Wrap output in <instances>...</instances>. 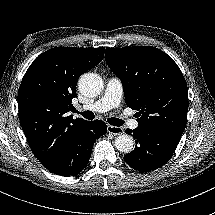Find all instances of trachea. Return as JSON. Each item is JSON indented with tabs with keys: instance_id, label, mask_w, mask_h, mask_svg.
<instances>
[{
	"instance_id": "1",
	"label": "trachea",
	"mask_w": 215,
	"mask_h": 215,
	"mask_svg": "<svg viewBox=\"0 0 215 215\" xmlns=\"http://www.w3.org/2000/svg\"><path fill=\"white\" fill-rule=\"evenodd\" d=\"M73 111L75 113H78L80 115H82L85 119H89L92 120L94 119V113L92 111H84V112H79L75 109H73ZM107 122L113 126H121L124 122L121 119H117V118H108Z\"/></svg>"
}]
</instances>
